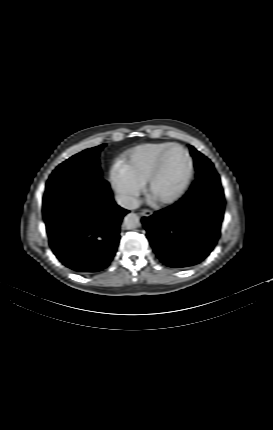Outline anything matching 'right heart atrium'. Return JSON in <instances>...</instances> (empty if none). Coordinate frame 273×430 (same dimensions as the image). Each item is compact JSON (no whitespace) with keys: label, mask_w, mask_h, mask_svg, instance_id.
Masks as SVG:
<instances>
[{"label":"right heart atrium","mask_w":273,"mask_h":430,"mask_svg":"<svg viewBox=\"0 0 273 430\" xmlns=\"http://www.w3.org/2000/svg\"><path fill=\"white\" fill-rule=\"evenodd\" d=\"M109 178L119 201L126 207H132L142 191V186L131 178L121 163L111 166Z\"/></svg>","instance_id":"obj_1"}]
</instances>
